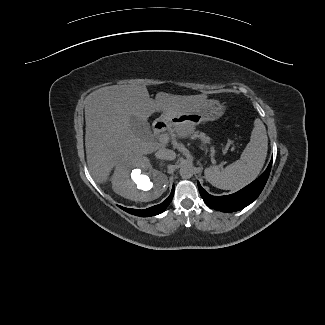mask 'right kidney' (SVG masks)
Segmentation results:
<instances>
[{
  "mask_svg": "<svg viewBox=\"0 0 325 325\" xmlns=\"http://www.w3.org/2000/svg\"><path fill=\"white\" fill-rule=\"evenodd\" d=\"M167 185V176L153 169L146 158L118 165L112 178L114 192L140 202L158 198L165 192Z\"/></svg>",
  "mask_w": 325,
  "mask_h": 325,
  "instance_id": "1",
  "label": "right kidney"
}]
</instances>
